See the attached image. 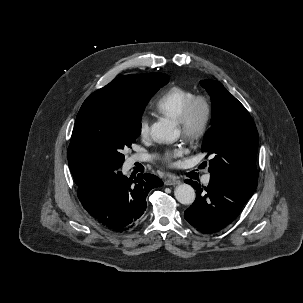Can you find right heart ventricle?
I'll return each instance as SVG.
<instances>
[{"mask_svg":"<svg viewBox=\"0 0 303 303\" xmlns=\"http://www.w3.org/2000/svg\"><path fill=\"white\" fill-rule=\"evenodd\" d=\"M195 94L180 86H170L158 97L156 110L165 116L178 119Z\"/></svg>","mask_w":303,"mask_h":303,"instance_id":"obj_1","label":"right heart ventricle"}]
</instances>
